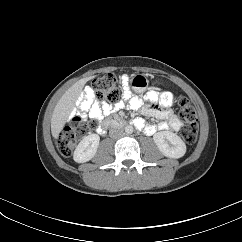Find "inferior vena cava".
Here are the masks:
<instances>
[{
  "mask_svg": "<svg viewBox=\"0 0 242 242\" xmlns=\"http://www.w3.org/2000/svg\"><path fill=\"white\" fill-rule=\"evenodd\" d=\"M123 134V130L121 128H113L110 130V137L119 138Z\"/></svg>",
  "mask_w": 242,
  "mask_h": 242,
  "instance_id": "1",
  "label": "inferior vena cava"
}]
</instances>
